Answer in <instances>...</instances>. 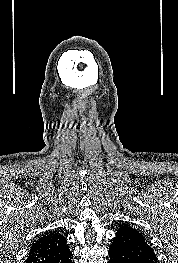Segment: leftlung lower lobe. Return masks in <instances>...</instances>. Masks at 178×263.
Instances as JSON below:
<instances>
[{
    "label": "left lung lower lobe",
    "instance_id": "obj_1",
    "mask_svg": "<svg viewBox=\"0 0 178 263\" xmlns=\"http://www.w3.org/2000/svg\"><path fill=\"white\" fill-rule=\"evenodd\" d=\"M108 254V263H157L144 236L125 224L119 227Z\"/></svg>",
    "mask_w": 178,
    "mask_h": 263
}]
</instances>
